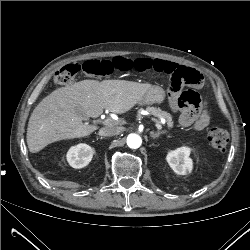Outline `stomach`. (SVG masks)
<instances>
[{"label": "stomach", "instance_id": "stomach-1", "mask_svg": "<svg viewBox=\"0 0 250 250\" xmlns=\"http://www.w3.org/2000/svg\"><path fill=\"white\" fill-rule=\"evenodd\" d=\"M165 96V91L161 87L154 86L145 93V95L139 101V104L162 103L165 99Z\"/></svg>", "mask_w": 250, "mask_h": 250}]
</instances>
